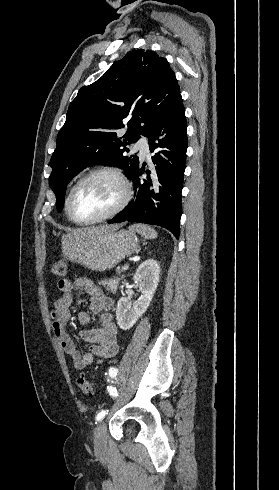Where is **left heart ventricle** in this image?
<instances>
[{
    "mask_svg": "<svg viewBox=\"0 0 279 490\" xmlns=\"http://www.w3.org/2000/svg\"><path fill=\"white\" fill-rule=\"evenodd\" d=\"M122 196L120 183L110 175H98L84 181L77 191L74 214L79 220L96 218L113 208Z\"/></svg>",
    "mask_w": 279,
    "mask_h": 490,
    "instance_id": "1",
    "label": "left heart ventricle"
}]
</instances>
